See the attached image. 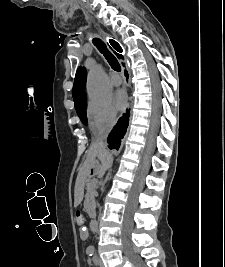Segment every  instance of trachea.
Here are the masks:
<instances>
[{"label":"trachea","mask_w":225,"mask_h":267,"mask_svg":"<svg viewBox=\"0 0 225 267\" xmlns=\"http://www.w3.org/2000/svg\"><path fill=\"white\" fill-rule=\"evenodd\" d=\"M110 41H111V45L115 48L114 44H117V43L113 40H110ZM93 43L99 49V51L101 53L107 52V54H105V57H106L107 61L109 62V64L111 65L112 69L117 71V72H120L121 67H120L118 60L116 59V57L112 53H110L107 50L105 43L102 40H100L99 38H94Z\"/></svg>","instance_id":"1"}]
</instances>
